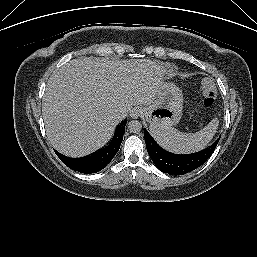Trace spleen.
Returning <instances> with one entry per match:
<instances>
[{
  "label": "spleen",
  "instance_id": "3e777b00",
  "mask_svg": "<svg viewBox=\"0 0 257 257\" xmlns=\"http://www.w3.org/2000/svg\"><path fill=\"white\" fill-rule=\"evenodd\" d=\"M218 125L219 120L214 118L196 133H183L172 127L153 128L151 133L164 149L174 153L188 154L204 149L215 135Z\"/></svg>",
  "mask_w": 257,
  "mask_h": 257
}]
</instances>
